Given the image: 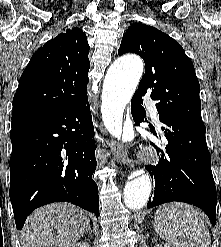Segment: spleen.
I'll return each instance as SVG.
<instances>
[{
	"instance_id": "1",
	"label": "spleen",
	"mask_w": 221,
	"mask_h": 247,
	"mask_svg": "<svg viewBox=\"0 0 221 247\" xmlns=\"http://www.w3.org/2000/svg\"><path fill=\"white\" fill-rule=\"evenodd\" d=\"M155 231L174 247H209L211 237L200 212L184 203L161 206L154 218Z\"/></svg>"
}]
</instances>
